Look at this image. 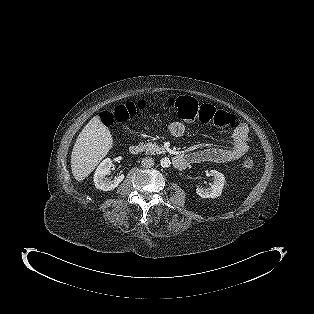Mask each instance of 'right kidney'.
Masks as SVG:
<instances>
[{"instance_id": "1", "label": "right kidney", "mask_w": 314, "mask_h": 314, "mask_svg": "<svg viewBox=\"0 0 314 314\" xmlns=\"http://www.w3.org/2000/svg\"><path fill=\"white\" fill-rule=\"evenodd\" d=\"M112 167V160L110 158L104 159L97 167L94 174V183L97 189L103 191H111L115 189L124 179V175L116 176L113 180L107 179Z\"/></svg>"}]
</instances>
